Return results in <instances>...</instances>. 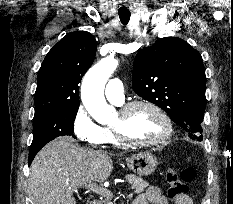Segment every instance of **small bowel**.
Masks as SVG:
<instances>
[{
	"label": "small bowel",
	"instance_id": "obj_1",
	"mask_svg": "<svg viewBox=\"0 0 233 204\" xmlns=\"http://www.w3.org/2000/svg\"><path fill=\"white\" fill-rule=\"evenodd\" d=\"M133 204H168V201L159 188L151 186L145 192L138 195ZM175 204H193V201L185 193L175 199Z\"/></svg>",
	"mask_w": 233,
	"mask_h": 204
}]
</instances>
